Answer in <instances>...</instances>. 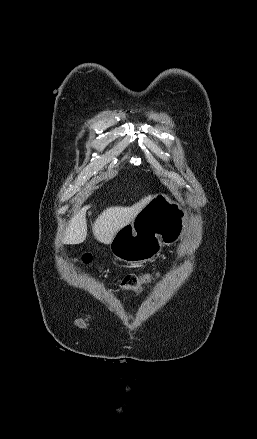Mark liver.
Returning <instances> with one entry per match:
<instances>
[{"mask_svg": "<svg viewBox=\"0 0 257 439\" xmlns=\"http://www.w3.org/2000/svg\"><path fill=\"white\" fill-rule=\"evenodd\" d=\"M151 199L152 196L148 195L131 207L113 206L106 208L92 225L94 237L101 243L110 244L118 230L131 223ZM87 208L88 206H84L71 219L63 239L64 243L80 244L86 239Z\"/></svg>", "mask_w": 257, "mask_h": 439, "instance_id": "liver-1", "label": "liver"}]
</instances>
